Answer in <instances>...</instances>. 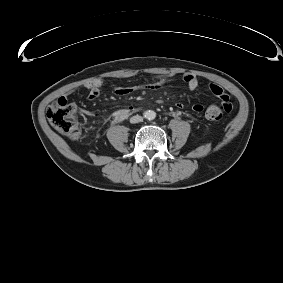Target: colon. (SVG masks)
<instances>
[{"instance_id": "5ec220e1", "label": "colon", "mask_w": 283, "mask_h": 283, "mask_svg": "<svg viewBox=\"0 0 283 283\" xmlns=\"http://www.w3.org/2000/svg\"><path fill=\"white\" fill-rule=\"evenodd\" d=\"M75 104L65 97L54 101L47 109L46 116L49 123L61 134L70 139H77L80 135V126L75 119ZM231 110V104L227 107L211 105L205 111V117L211 121H219L224 116V111Z\"/></svg>"}]
</instances>
